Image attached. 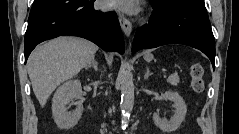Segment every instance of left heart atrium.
<instances>
[{"label":"left heart atrium","instance_id":"obj_1","mask_svg":"<svg viewBox=\"0 0 239 134\" xmlns=\"http://www.w3.org/2000/svg\"><path fill=\"white\" fill-rule=\"evenodd\" d=\"M109 3L111 7L121 9L128 13H133L137 10L136 3L133 0H115Z\"/></svg>","mask_w":239,"mask_h":134}]
</instances>
